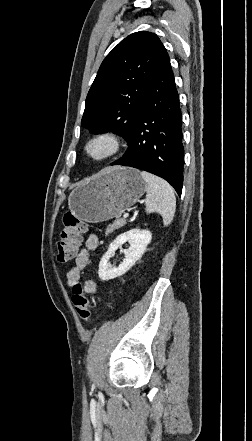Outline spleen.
I'll return each mask as SVG.
<instances>
[{
  "instance_id": "3e777b00",
  "label": "spleen",
  "mask_w": 252,
  "mask_h": 441,
  "mask_svg": "<svg viewBox=\"0 0 252 441\" xmlns=\"http://www.w3.org/2000/svg\"><path fill=\"white\" fill-rule=\"evenodd\" d=\"M141 176L147 183L146 213L160 214L164 226H168L173 220L176 209V198L172 187L165 180L146 171H142Z\"/></svg>"
}]
</instances>
